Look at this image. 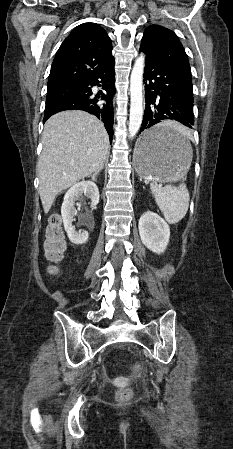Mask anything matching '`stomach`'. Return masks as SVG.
<instances>
[{
    "label": "stomach",
    "instance_id": "0dacf381",
    "mask_svg": "<svg viewBox=\"0 0 233 449\" xmlns=\"http://www.w3.org/2000/svg\"><path fill=\"white\" fill-rule=\"evenodd\" d=\"M191 159L189 140L184 133L166 123L147 128L137 141L133 155L134 166L140 176L162 181L176 180L183 175Z\"/></svg>",
    "mask_w": 233,
    "mask_h": 449
}]
</instances>
